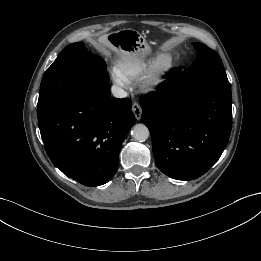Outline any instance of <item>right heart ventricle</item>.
<instances>
[{
  "label": "right heart ventricle",
  "instance_id": "e07e8e85",
  "mask_svg": "<svg viewBox=\"0 0 261 261\" xmlns=\"http://www.w3.org/2000/svg\"><path fill=\"white\" fill-rule=\"evenodd\" d=\"M147 63L136 59H121L115 70L127 82L137 80L146 70Z\"/></svg>",
  "mask_w": 261,
  "mask_h": 261
}]
</instances>
